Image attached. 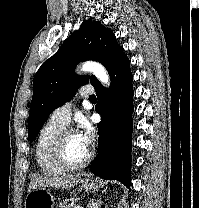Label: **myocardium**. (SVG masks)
I'll return each mask as SVG.
<instances>
[{"instance_id":"myocardium-1","label":"myocardium","mask_w":199,"mask_h":208,"mask_svg":"<svg viewBox=\"0 0 199 208\" xmlns=\"http://www.w3.org/2000/svg\"><path fill=\"white\" fill-rule=\"evenodd\" d=\"M74 128L63 129L53 142L51 156L53 162L64 171H74L86 166L93 157V151L89 149L87 156L78 163H70L65 156V143L70 134L75 133Z\"/></svg>"}]
</instances>
